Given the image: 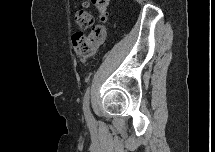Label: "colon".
Listing matches in <instances>:
<instances>
[{"label":"colon","instance_id":"5ec220e1","mask_svg":"<svg viewBox=\"0 0 215 152\" xmlns=\"http://www.w3.org/2000/svg\"><path fill=\"white\" fill-rule=\"evenodd\" d=\"M99 13L102 21L106 20L108 0H91L90 1ZM88 3L75 11V20L82 29H90L88 35L76 33L72 37L74 52L81 59H87L92 56L96 50L103 44L106 36L105 26L103 24H93L92 16L86 9Z\"/></svg>","mask_w":215,"mask_h":152}]
</instances>
